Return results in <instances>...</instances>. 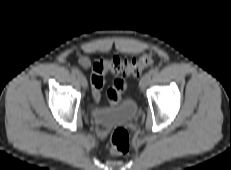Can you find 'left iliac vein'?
I'll use <instances>...</instances> for the list:
<instances>
[{"label": "left iliac vein", "instance_id": "1", "mask_svg": "<svg viewBox=\"0 0 231 170\" xmlns=\"http://www.w3.org/2000/svg\"><path fill=\"white\" fill-rule=\"evenodd\" d=\"M150 81H151V75L149 73L145 74L140 80V83H139L140 88L142 90L146 89Z\"/></svg>", "mask_w": 231, "mask_h": 170}]
</instances>
